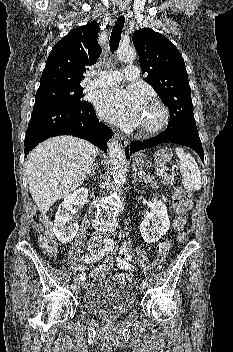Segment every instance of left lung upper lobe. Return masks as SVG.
Wrapping results in <instances>:
<instances>
[{
    "label": "left lung upper lobe",
    "mask_w": 233,
    "mask_h": 352,
    "mask_svg": "<svg viewBox=\"0 0 233 352\" xmlns=\"http://www.w3.org/2000/svg\"><path fill=\"white\" fill-rule=\"evenodd\" d=\"M145 81L170 112L168 128L196 127L191 90L185 63L179 50L165 36L149 28L132 37Z\"/></svg>",
    "instance_id": "1"
}]
</instances>
